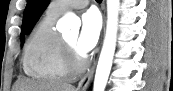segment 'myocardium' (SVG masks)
I'll return each instance as SVG.
<instances>
[{
    "instance_id": "myocardium-1",
    "label": "myocardium",
    "mask_w": 173,
    "mask_h": 91,
    "mask_svg": "<svg viewBox=\"0 0 173 91\" xmlns=\"http://www.w3.org/2000/svg\"><path fill=\"white\" fill-rule=\"evenodd\" d=\"M62 45L64 61L69 73H81L87 64L86 60L80 56L76 49L72 47L65 39L62 40Z\"/></svg>"
}]
</instances>
